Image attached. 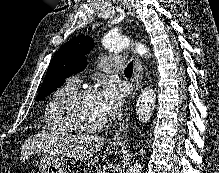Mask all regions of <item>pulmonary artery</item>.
Segmentation results:
<instances>
[{
  "label": "pulmonary artery",
  "mask_w": 219,
  "mask_h": 173,
  "mask_svg": "<svg viewBox=\"0 0 219 173\" xmlns=\"http://www.w3.org/2000/svg\"><path fill=\"white\" fill-rule=\"evenodd\" d=\"M99 67L103 71H120L124 67V59L120 56H103L99 61ZM73 83H78L79 77L73 76L70 78Z\"/></svg>",
  "instance_id": "1"
}]
</instances>
